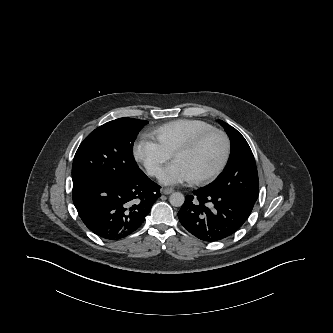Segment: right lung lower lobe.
Segmentation results:
<instances>
[{
	"label": "right lung lower lobe",
	"mask_w": 333,
	"mask_h": 333,
	"mask_svg": "<svg viewBox=\"0 0 333 333\" xmlns=\"http://www.w3.org/2000/svg\"><path fill=\"white\" fill-rule=\"evenodd\" d=\"M160 186L141 170L129 181L95 179L73 185L72 198L89 230L119 240L137 230L161 196Z\"/></svg>",
	"instance_id": "obj_1"
}]
</instances>
